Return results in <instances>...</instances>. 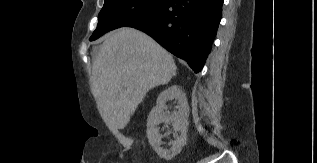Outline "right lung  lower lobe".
<instances>
[{"instance_id":"obj_1","label":"right lung lower lobe","mask_w":317,"mask_h":163,"mask_svg":"<svg viewBox=\"0 0 317 163\" xmlns=\"http://www.w3.org/2000/svg\"><path fill=\"white\" fill-rule=\"evenodd\" d=\"M224 0H168L126 27L150 35L165 49L201 71L221 20Z\"/></svg>"}]
</instances>
